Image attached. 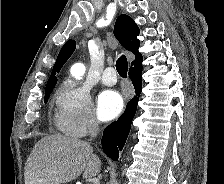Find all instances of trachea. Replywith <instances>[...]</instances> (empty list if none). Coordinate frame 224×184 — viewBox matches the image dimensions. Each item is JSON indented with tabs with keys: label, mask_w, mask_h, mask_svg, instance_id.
<instances>
[{
	"label": "trachea",
	"mask_w": 224,
	"mask_h": 184,
	"mask_svg": "<svg viewBox=\"0 0 224 184\" xmlns=\"http://www.w3.org/2000/svg\"><path fill=\"white\" fill-rule=\"evenodd\" d=\"M116 70L121 77L123 78L127 77L128 62L125 55L120 56L116 61Z\"/></svg>",
	"instance_id": "1"
}]
</instances>
